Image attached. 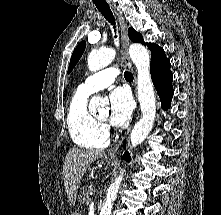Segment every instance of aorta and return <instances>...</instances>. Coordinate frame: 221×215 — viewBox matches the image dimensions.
<instances>
[{
    "mask_svg": "<svg viewBox=\"0 0 221 215\" xmlns=\"http://www.w3.org/2000/svg\"><path fill=\"white\" fill-rule=\"evenodd\" d=\"M129 55L137 69V94L140 103L142 117L135 124L131 134V146L135 147L142 143L151 131L155 116L156 104L154 88L150 76V55L141 44H132L129 47ZM116 52L112 48L92 51L88 56V67L91 71H98L108 66L115 58ZM105 109V102L101 97H93L89 104V111L96 112ZM123 173L115 179L107 189L106 199L99 215H111L113 202L116 199Z\"/></svg>",
    "mask_w": 221,
    "mask_h": 215,
    "instance_id": "aorta-1",
    "label": "aorta"
}]
</instances>
